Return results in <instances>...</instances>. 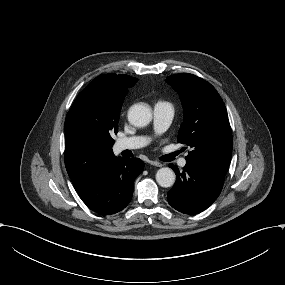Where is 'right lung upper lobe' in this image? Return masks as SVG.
<instances>
[{
  "label": "right lung upper lobe",
  "instance_id": "1",
  "mask_svg": "<svg viewBox=\"0 0 285 285\" xmlns=\"http://www.w3.org/2000/svg\"><path fill=\"white\" fill-rule=\"evenodd\" d=\"M137 81L124 74L100 75L78 95L71 108L89 123L119 115L127 89ZM115 159L112 147L65 140V165L76 191Z\"/></svg>",
  "mask_w": 285,
  "mask_h": 285
}]
</instances>
